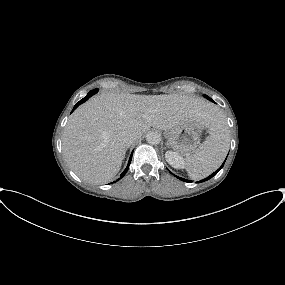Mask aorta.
Wrapping results in <instances>:
<instances>
[{
    "label": "aorta",
    "mask_w": 285,
    "mask_h": 285,
    "mask_svg": "<svg viewBox=\"0 0 285 285\" xmlns=\"http://www.w3.org/2000/svg\"><path fill=\"white\" fill-rule=\"evenodd\" d=\"M146 141L151 145H157L161 141V135L157 131H150L146 135Z\"/></svg>",
    "instance_id": "1"
}]
</instances>
